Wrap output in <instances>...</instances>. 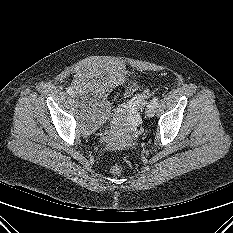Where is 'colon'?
<instances>
[{
	"mask_svg": "<svg viewBox=\"0 0 233 233\" xmlns=\"http://www.w3.org/2000/svg\"><path fill=\"white\" fill-rule=\"evenodd\" d=\"M125 167L120 163H116L111 167V173L114 175H120L124 172Z\"/></svg>",
	"mask_w": 233,
	"mask_h": 233,
	"instance_id": "5ec220e1",
	"label": "colon"
}]
</instances>
